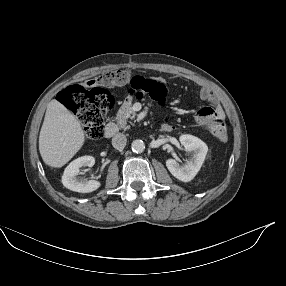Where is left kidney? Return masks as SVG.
Masks as SVG:
<instances>
[{
	"instance_id": "5707ae66",
	"label": "left kidney",
	"mask_w": 286,
	"mask_h": 286,
	"mask_svg": "<svg viewBox=\"0 0 286 286\" xmlns=\"http://www.w3.org/2000/svg\"><path fill=\"white\" fill-rule=\"evenodd\" d=\"M179 139L185 150L192 153V157L183 166L174 159H168L166 160V166L175 178L183 182H189L200 170L208 152V146L201 139L188 134L181 135Z\"/></svg>"
}]
</instances>
